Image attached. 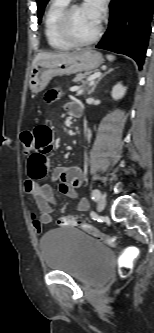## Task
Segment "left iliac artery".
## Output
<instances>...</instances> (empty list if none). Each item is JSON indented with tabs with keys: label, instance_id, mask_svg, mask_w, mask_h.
Instances as JSON below:
<instances>
[{
	"label": "left iliac artery",
	"instance_id": "left-iliac-artery-1",
	"mask_svg": "<svg viewBox=\"0 0 154 333\" xmlns=\"http://www.w3.org/2000/svg\"><path fill=\"white\" fill-rule=\"evenodd\" d=\"M101 196V193L98 189L92 190L91 197L94 201H97Z\"/></svg>",
	"mask_w": 154,
	"mask_h": 333
}]
</instances>
